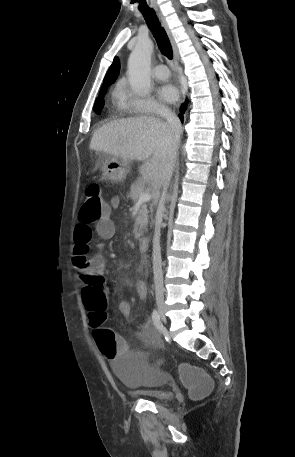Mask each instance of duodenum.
<instances>
[{
	"instance_id": "1",
	"label": "duodenum",
	"mask_w": 295,
	"mask_h": 457,
	"mask_svg": "<svg viewBox=\"0 0 295 457\" xmlns=\"http://www.w3.org/2000/svg\"><path fill=\"white\" fill-rule=\"evenodd\" d=\"M149 243L150 241L147 237H143L139 240V248L141 252L146 253L148 251Z\"/></svg>"
}]
</instances>
